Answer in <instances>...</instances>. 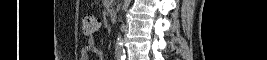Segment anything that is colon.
Here are the masks:
<instances>
[{
  "label": "colon",
  "mask_w": 267,
  "mask_h": 60,
  "mask_svg": "<svg viewBox=\"0 0 267 60\" xmlns=\"http://www.w3.org/2000/svg\"><path fill=\"white\" fill-rule=\"evenodd\" d=\"M82 24H83V31L86 34L96 31L99 27V22L97 18L91 14H86L83 17Z\"/></svg>",
  "instance_id": "colon-1"
}]
</instances>
